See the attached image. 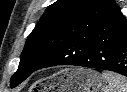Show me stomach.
<instances>
[{"label":"stomach","instance_id":"0dacf381","mask_svg":"<svg viewBox=\"0 0 127 92\" xmlns=\"http://www.w3.org/2000/svg\"><path fill=\"white\" fill-rule=\"evenodd\" d=\"M106 82L97 71L86 68H65L50 77L52 92H100Z\"/></svg>","mask_w":127,"mask_h":92}]
</instances>
